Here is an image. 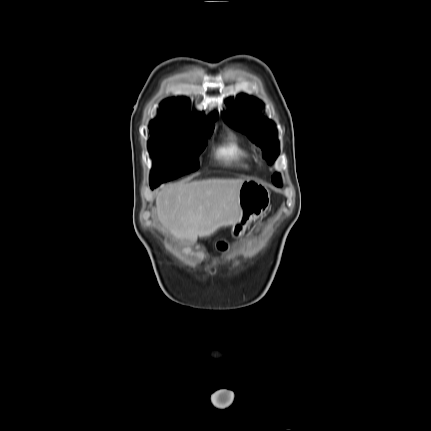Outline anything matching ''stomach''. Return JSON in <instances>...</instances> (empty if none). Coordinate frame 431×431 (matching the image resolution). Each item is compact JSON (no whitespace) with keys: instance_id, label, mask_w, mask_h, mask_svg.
<instances>
[{"instance_id":"stomach-1","label":"stomach","mask_w":431,"mask_h":431,"mask_svg":"<svg viewBox=\"0 0 431 431\" xmlns=\"http://www.w3.org/2000/svg\"><path fill=\"white\" fill-rule=\"evenodd\" d=\"M240 217L232 226V236L239 238L246 227L254 220L262 216L270 206V191L260 182L246 180L243 182L238 196ZM219 251H226L228 243L220 240L216 243Z\"/></svg>"}]
</instances>
